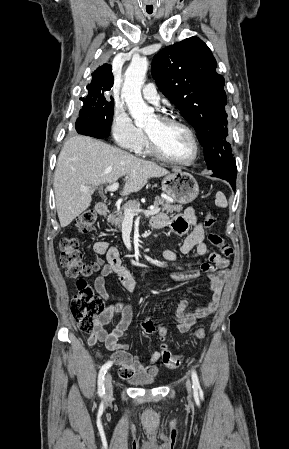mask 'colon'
Listing matches in <instances>:
<instances>
[{
    "instance_id": "1",
    "label": "colon",
    "mask_w": 289,
    "mask_h": 449,
    "mask_svg": "<svg viewBox=\"0 0 289 449\" xmlns=\"http://www.w3.org/2000/svg\"><path fill=\"white\" fill-rule=\"evenodd\" d=\"M95 219V212L86 210L75 219L73 229L79 233L85 234L91 229ZM216 222V216L209 211L206 212L204 219L205 227L212 228ZM208 239L212 245L219 248L223 256H230L233 253L231 246L225 243L220 234L210 233ZM60 250V261L67 276L77 279L78 292L71 300L73 317L81 331L91 333L95 331L101 320L105 311V306L103 299L95 294L92 287L87 284L86 279L98 272L104 261L103 259H97L94 262L85 263L81 251L79 250L78 241L73 237L63 238L60 242ZM141 328L146 334H153L157 331L160 340L162 341L159 352L163 364L168 368L178 367L181 363L180 357L173 355L165 343L168 335L167 328L162 326L156 329L155 325L150 320L144 321L141 324ZM195 336L198 339H203L205 337V330L203 328L196 329Z\"/></svg>"
}]
</instances>
